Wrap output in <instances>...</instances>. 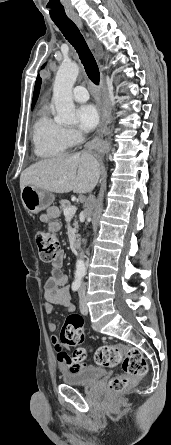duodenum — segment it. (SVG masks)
<instances>
[{
    "label": "duodenum",
    "instance_id": "410a0bca",
    "mask_svg": "<svg viewBox=\"0 0 171 445\" xmlns=\"http://www.w3.org/2000/svg\"><path fill=\"white\" fill-rule=\"evenodd\" d=\"M82 245V241L80 238H76L73 242V246L75 249H79Z\"/></svg>",
    "mask_w": 171,
    "mask_h": 445
}]
</instances>
